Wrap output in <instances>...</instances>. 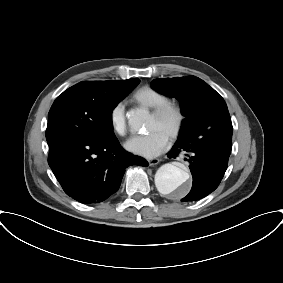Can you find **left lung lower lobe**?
I'll return each instance as SVG.
<instances>
[{
	"mask_svg": "<svg viewBox=\"0 0 283 283\" xmlns=\"http://www.w3.org/2000/svg\"><path fill=\"white\" fill-rule=\"evenodd\" d=\"M193 130L180 136L168 157L173 158L180 152L190 163L193 184L189 194L182 201H195L213 192L219 185L227 169L230 153L211 151L198 142Z\"/></svg>",
	"mask_w": 283,
	"mask_h": 283,
	"instance_id": "1",
	"label": "left lung lower lobe"
}]
</instances>
